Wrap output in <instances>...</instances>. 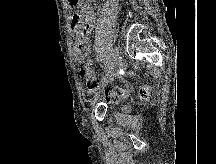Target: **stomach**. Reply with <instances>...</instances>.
I'll list each match as a JSON object with an SVG mask.
<instances>
[{
    "mask_svg": "<svg viewBox=\"0 0 216 164\" xmlns=\"http://www.w3.org/2000/svg\"><path fill=\"white\" fill-rule=\"evenodd\" d=\"M70 7H79L83 0H67Z\"/></svg>",
    "mask_w": 216,
    "mask_h": 164,
    "instance_id": "1",
    "label": "stomach"
}]
</instances>
